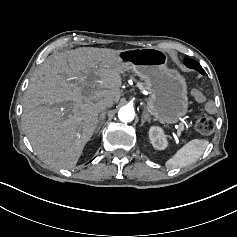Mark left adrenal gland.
<instances>
[{
    "mask_svg": "<svg viewBox=\"0 0 237 237\" xmlns=\"http://www.w3.org/2000/svg\"><path fill=\"white\" fill-rule=\"evenodd\" d=\"M141 120H142V122L140 124V127H142L145 124V122L149 121L147 115H143Z\"/></svg>",
    "mask_w": 237,
    "mask_h": 237,
    "instance_id": "a2214340",
    "label": "left adrenal gland"
}]
</instances>
